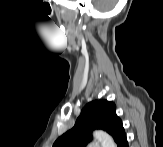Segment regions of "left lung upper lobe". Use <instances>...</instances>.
I'll list each match as a JSON object with an SVG mask.
<instances>
[{"mask_svg":"<svg viewBox=\"0 0 163 147\" xmlns=\"http://www.w3.org/2000/svg\"><path fill=\"white\" fill-rule=\"evenodd\" d=\"M103 129L116 141L124 130L121 119L116 115V106L107 100L89 102L81 111L74 127L60 136L53 147L85 146L92 140L91 131Z\"/></svg>","mask_w":163,"mask_h":147,"instance_id":"left-lung-upper-lobe-1","label":"left lung upper lobe"}]
</instances>
